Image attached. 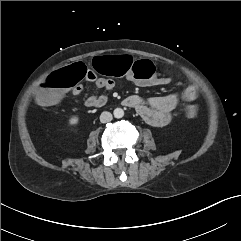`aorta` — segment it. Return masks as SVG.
Here are the masks:
<instances>
[{"mask_svg":"<svg viewBox=\"0 0 241 241\" xmlns=\"http://www.w3.org/2000/svg\"><path fill=\"white\" fill-rule=\"evenodd\" d=\"M113 114L115 118H122L124 116V111L121 108H116L114 109Z\"/></svg>","mask_w":241,"mask_h":241,"instance_id":"1","label":"aorta"}]
</instances>
